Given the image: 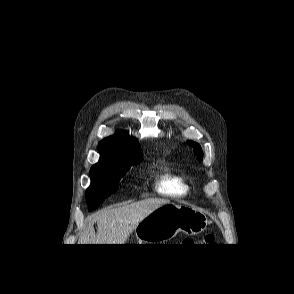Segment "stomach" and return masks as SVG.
<instances>
[{"label": "stomach", "mask_w": 294, "mask_h": 294, "mask_svg": "<svg viewBox=\"0 0 294 294\" xmlns=\"http://www.w3.org/2000/svg\"><path fill=\"white\" fill-rule=\"evenodd\" d=\"M208 224L207 216L198 209L168 202L140 221L134 232L140 244H163L179 232L199 234Z\"/></svg>", "instance_id": "obj_1"}]
</instances>
